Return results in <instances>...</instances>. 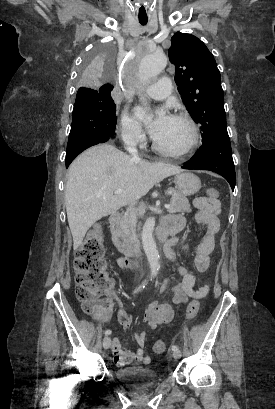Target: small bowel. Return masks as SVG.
Listing matches in <instances>:
<instances>
[{"label": "small bowel", "instance_id": "obj_1", "mask_svg": "<svg viewBox=\"0 0 275 409\" xmlns=\"http://www.w3.org/2000/svg\"><path fill=\"white\" fill-rule=\"evenodd\" d=\"M194 206L197 208L196 220L199 223H203L207 226V232L203 237L202 241L197 245L195 249V264L199 272H206L211 264L212 253L215 245V235L219 230V215L221 212L219 201L211 200L207 197H197L194 199ZM168 221L180 220L182 221V226L184 225V218L182 217H172L166 219ZM165 221V220H164ZM181 226V227H182ZM170 244H179L182 246L183 250L188 252L189 246L179 237H174ZM170 254L166 253L169 260L177 264L178 273L181 276L180 282L163 281L159 285V290H170L174 293L173 301L175 304H183L190 297H203L209 291V286L205 285L199 290L195 289V276L186 267L180 265L177 261V256L175 252L170 248ZM121 268H127L128 264H119ZM122 305V304H120ZM122 310V309H121ZM173 308L169 304H160L157 302H151L146 305L143 312V319L147 323L149 329H156L159 325L168 323L173 318ZM127 316V317H126ZM120 326L122 328H129L131 326L130 317L127 313L119 314ZM146 333L144 331H139L135 334L134 339L138 345V349L135 353L125 352L119 340L114 339L112 350L114 361L119 366L127 365L131 362L140 360L145 365L151 364V359L149 358V353L143 351V346L145 343ZM144 360V362L142 361Z\"/></svg>", "mask_w": 275, "mask_h": 409}]
</instances>
